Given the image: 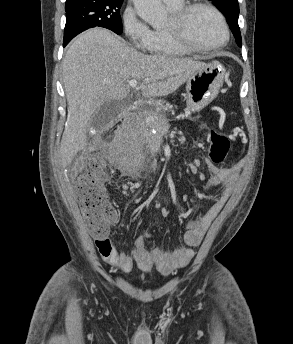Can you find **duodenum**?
<instances>
[{
  "label": "duodenum",
  "mask_w": 293,
  "mask_h": 344,
  "mask_svg": "<svg viewBox=\"0 0 293 344\" xmlns=\"http://www.w3.org/2000/svg\"><path fill=\"white\" fill-rule=\"evenodd\" d=\"M131 120V117L128 113L124 114L121 116L120 120H119V124H124L125 122H128Z\"/></svg>",
  "instance_id": "duodenum-1"
}]
</instances>
